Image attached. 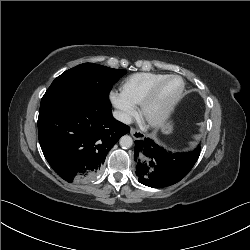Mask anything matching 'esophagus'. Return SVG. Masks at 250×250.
Wrapping results in <instances>:
<instances>
[{
  "label": "esophagus",
  "mask_w": 250,
  "mask_h": 250,
  "mask_svg": "<svg viewBox=\"0 0 250 250\" xmlns=\"http://www.w3.org/2000/svg\"><path fill=\"white\" fill-rule=\"evenodd\" d=\"M130 134L134 139H137V140L144 138V134L135 128L130 129Z\"/></svg>",
  "instance_id": "34e87169"
}]
</instances>
